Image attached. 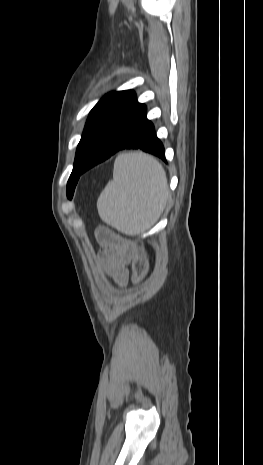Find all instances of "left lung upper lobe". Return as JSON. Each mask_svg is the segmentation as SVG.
<instances>
[{
    "mask_svg": "<svg viewBox=\"0 0 263 465\" xmlns=\"http://www.w3.org/2000/svg\"><path fill=\"white\" fill-rule=\"evenodd\" d=\"M136 94L131 90L110 92L106 94L90 111L81 140L78 144L73 171L67 183V197L72 198L75 186L82 174V167L91 155L99 138L134 99Z\"/></svg>",
    "mask_w": 263,
    "mask_h": 465,
    "instance_id": "5c2ea615",
    "label": "left lung upper lobe"
}]
</instances>
